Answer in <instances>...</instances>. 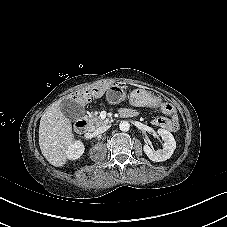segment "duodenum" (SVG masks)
Wrapping results in <instances>:
<instances>
[{"instance_id":"1","label":"duodenum","mask_w":227,"mask_h":227,"mask_svg":"<svg viewBox=\"0 0 227 227\" xmlns=\"http://www.w3.org/2000/svg\"><path fill=\"white\" fill-rule=\"evenodd\" d=\"M76 132L86 134L88 131V122L85 120H78L74 126Z\"/></svg>"}]
</instances>
